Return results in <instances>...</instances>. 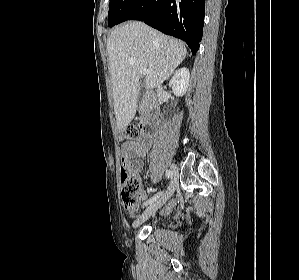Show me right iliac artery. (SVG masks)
<instances>
[{"label": "right iliac artery", "mask_w": 299, "mask_h": 280, "mask_svg": "<svg viewBox=\"0 0 299 280\" xmlns=\"http://www.w3.org/2000/svg\"><path fill=\"white\" fill-rule=\"evenodd\" d=\"M165 175H166L167 178H171L172 177V173H171L170 170H166ZM161 195H162V191L158 192L153 197H151L149 200H147L146 202H144L143 207L154 203Z\"/></svg>", "instance_id": "82829eb1"}]
</instances>
